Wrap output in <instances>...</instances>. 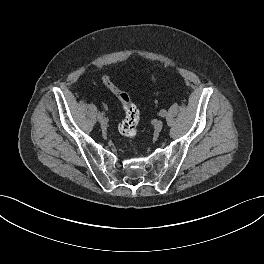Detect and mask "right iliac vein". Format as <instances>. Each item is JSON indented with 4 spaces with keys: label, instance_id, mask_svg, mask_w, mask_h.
<instances>
[{
    "label": "right iliac vein",
    "instance_id": "63e3f726",
    "mask_svg": "<svg viewBox=\"0 0 264 264\" xmlns=\"http://www.w3.org/2000/svg\"><path fill=\"white\" fill-rule=\"evenodd\" d=\"M100 124H101V127H102L103 129H105V128L107 127V121H106V119H102V120L100 121Z\"/></svg>",
    "mask_w": 264,
    "mask_h": 264
}]
</instances>
